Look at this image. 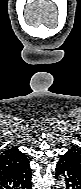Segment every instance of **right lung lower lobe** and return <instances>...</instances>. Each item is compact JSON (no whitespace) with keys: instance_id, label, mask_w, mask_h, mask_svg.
I'll return each mask as SVG.
<instances>
[{"instance_id":"98d812e1","label":"right lung lower lobe","mask_w":81,"mask_h":189,"mask_svg":"<svg viewBox=\"0 0 81 189\" xmlns=\"http://www.w3.org/2000/svg\"><path fill=\"white\" fill-rule=\"evenodd\" d=\"M29 161L0 175V189H32Z\"/></svg>"}]
</instances>
